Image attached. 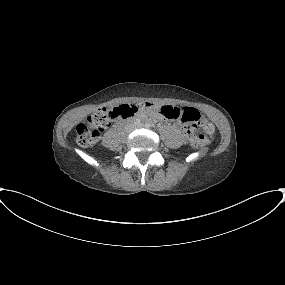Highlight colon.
Returning a JSON list of instances; mask_svg holds the SVG:
<instances>
[{
    "label": "colon",
    "instance_id": "obj_1",
    "mask_svg": "<svg viewBox=\"0 0 285 285\" xmlns=\"http://www.w3.org/2000/svg\"><path fill=\"white\" fill-rule=\"evenodd\" d=\"M140 111L158 113L165 118L177 120L190 126L203 128L208 133L214 131L212 124L205 122L198 110L194 108H180L174 105H157L151 102L139 104H123L115 108L101 107L94 110L83 122L76 127L77 143L82 147L92 146L100 137V134L110 126L114 119H128ZM186 136L189 143L194 147H200L207 143V140L198 130L187 128Z\"/></svg>",
    "mask_w": 285,
    "mask_h": 285
}]
</instances>
